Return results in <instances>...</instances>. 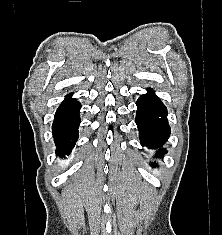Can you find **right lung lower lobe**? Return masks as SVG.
<instances>
[{
    "label": "right lung lower lobe",
    "mask_w": 222,
    "mask_h": 235,
    "mask_svg": "<svg viewBox=\"0 0 222 235\" xmlns=\"http://www.w3.org/2000/svg\"><path fill=\"white\" fill-rule=\"evenodd\" d=\"M68 95L57 109L52 126L57 154H69L78 139L81 105Z\"/></svg>",
    "instance_id": "obj_1"
}]
</instances>
